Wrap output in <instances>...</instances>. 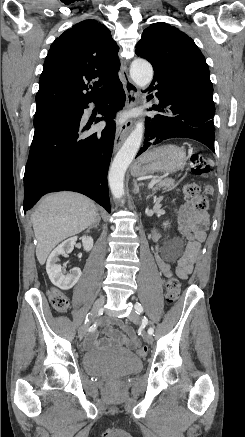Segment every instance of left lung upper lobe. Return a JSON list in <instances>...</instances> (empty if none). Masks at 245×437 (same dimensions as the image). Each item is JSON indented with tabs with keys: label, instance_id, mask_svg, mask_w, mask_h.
I'll use <instances>...</instances> for the list:
<instances>
[{
	"label": "left lung upper lobe",
	"instance_id": "1",
	"mask_svg": "<svg viewBox=\"0 0 245 437\" xmlns=\"http://www.w3.org/2000/svg\"><path fill=\"white\" fill-rule=\"evenodd\" d=\"M136 54L152 64L154 77L212 97L213 86L205 57L194 41L177 28L164 22L151 24L143 31Z\"/></svg>",
	"mask_w": 245,
	"mask_h": 437
}]
</instances>
